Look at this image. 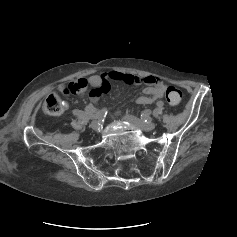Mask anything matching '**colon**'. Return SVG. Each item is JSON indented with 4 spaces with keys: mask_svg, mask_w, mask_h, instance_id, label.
<instances>
[{
    "mask_svg": "<svg viewBox=\"0 0 237 237\" xmlns=\"http://www.w3.org/2000/svg\"><path fill=\"white\" fill-rule=\"evenodd\" d=\"M167 102L176 106L182 100V93L174 86H169L165 92ZM64 105L60 96L56 93L49 94L42 103V110L48 115H58L63 111Z\"/></svg>",
    "mask_w": 237,
    "mask_h": 237,
    "instance_id": "5ec220e1",
    "label": "colon"
}]
</instances>
